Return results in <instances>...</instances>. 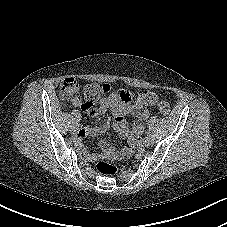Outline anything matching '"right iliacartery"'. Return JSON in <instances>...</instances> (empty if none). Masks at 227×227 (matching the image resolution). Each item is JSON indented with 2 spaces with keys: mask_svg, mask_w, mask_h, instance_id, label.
Returning <instances> with one entry per match:
<instances>
[{
  "mask_svg": "<svg viewBox=\"0 0 227 227\" xmlns=\"http://www.w3.org/2000/svg\"><path fill=\"white\" fill-rule=\"evenodd\" d=\"M73 127L78 128L79 127V121H74Z\"/></svg>",
  "mask_w": 227,
  "mask_h": 227,
  "instance_id": "right-iliac-artery-1",
  "label": "right iliac artery"
}]
</instances>
